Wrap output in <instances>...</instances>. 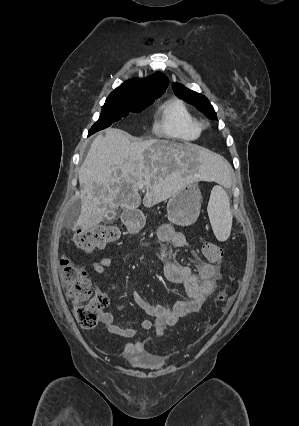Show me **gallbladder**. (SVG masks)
Wrapping results in <instances>:
<instances>
[{"label": "gallbladder", "mask_w": 299, "mask_h": 426, "mask_svg": "<svg viewBox=\"0 0 299 426\" xmlns=\"http://www.w3.org/2000/svg\"><path fill=\"white\" fill-rule=\"evenodd\" d=\"M115 215H116L115 209H110L108 211V214L105 217V221L112 222L115 219Z\"/></svg>", "instance_id": "bac80fb5"}]
</instances>
